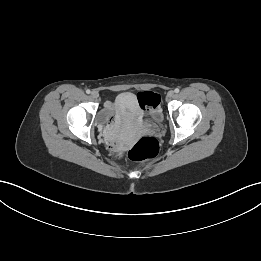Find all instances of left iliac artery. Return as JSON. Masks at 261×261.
I'll use <instances>...</instances> for the list:
<instances>
[{
	"mask_svg": "<svg viewBox=\"0 0 261 261\" xmlns=\"http://www.w3.org/2000/svg\"><path fill=\"white\" fill-rule=\"evenodd\" d=\"M179 91H180V90H179L178 88H176V89L174 90L175 93H179Z\"/></svg>",
	"mask_w": 261,
	"mask_h": 261,
	"instance_id": "left-iliac-artery-1",
	"label": "left iliac artery"
}]
</instances>
